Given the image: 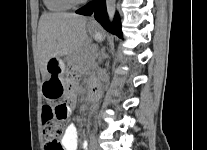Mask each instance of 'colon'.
<instances>
[{
    "label": "colon",
    "instance_id": "obj_1",
    "mask_svg": "<svg viewBox=\"0 0 207 150\" xmlns=\"http://www.w3.org/2000/svg\"><path fill=\"white\" fill-rule=\"evenodd\" d=\"M69 115L66 103L48 104L42 110L43 135L45 150H63L60 142L63 122Z\"/></svg>",
    "mask_w": 207,
    "mask_h": 150
}]
</instances>
